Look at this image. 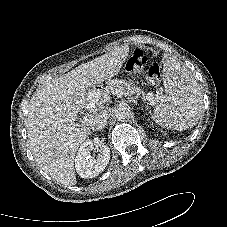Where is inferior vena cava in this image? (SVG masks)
Listing matches in <instances>:
<instances>
[{"label":"inferior vena cava","instance_id":"obj_1","mask_svg":"<svg viewBox=\"0 0 227 227\" xmlns=\"http://www.w3.org/2000/svg\"><path fill=\"white\" fill-rule=\"evenodd\" d=\"M108 113L106 111H102L100 113H97L96 115H94L91 119L90 127L93 130H99L104 128L107 123H108Z\"/></svg>","mask_w":227,"mask_h":227}]
</instances>
